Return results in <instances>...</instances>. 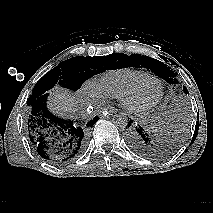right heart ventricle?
<instances>
[{
	"label": "right heart ventricle",
	"mask_w": 213,
	"mask_h": 213,
	"mask_svg": "<svg viewBox=\"0 0 213 213\" xmlns=\"http://www.w3.org/2000/svg\"><path fill=\"white\" fill-rule=\"evenodd\" d=\"M151 77L149 72L142 69L122 68L105 72L95 86L102 97L119 99Z\"/></svg>",
	"instance_id": "e07e8e85"
}]
</instances>
